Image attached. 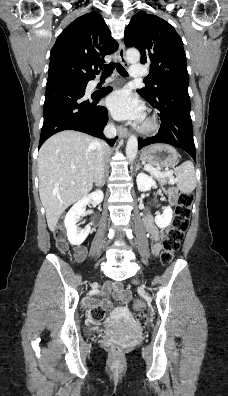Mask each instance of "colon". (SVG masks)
I'll use <instances>...</instances> for the list:
<instances>
[{"label": "colon", "mask_w": 228, "mask_h": 396, "mask_svg": "<svg viewBox=\"0 0 228 396\" xmlns=\"http://www.w3.org/2000/svg\"><path fill=\"white\" fill-rule=\"evenodd\" d=\"M172 194L175 195L176 191L173 190ZM193 202L191 193L181 192L177 196V206L175 210V217L172 227L168 230L165 239L162 242L163 253L162 262L169 264L173 261L175 252L177 251L183 237L184 231L188 227V219L190 216V209ZM54 236L57 241V246L60 251L67 249V242L65 240V231L61 226L54 230ZM134 308L138 311L137 320L141 326H145L148 322L147 316L144 314L145 304L141 301L134 303ZM105 316L104 310L100 306H96L92 310V317L94 320H102ZM112 350L114 353H119L120 348L118 345H113Z\"/></svg>", "instance_id": "obj_1"}]
</instances>
